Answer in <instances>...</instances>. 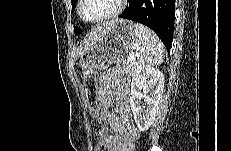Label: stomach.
<instances>
[{"instance_id": "0dacf381", "label": "stomach", "mask_w": 231, "mask_h": 151, "mask_svg": "<svg viewBox=\"0 0 231 151\" xmlns=\"http://www.w3.org/2000/svg\"><path fill=\"white\" fill-rule=\"evenodd\" d=\"M135 40V24L130 20H116L107 26L93 46L80 55L78 66L87 72L122 62L135 49Z\"/></svg>"}]
</instances>
